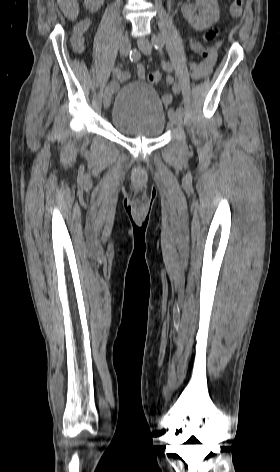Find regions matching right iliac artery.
Segmentation results:
<instances>
[{"instance_id":"82829eb1","label":"right iliac artery","mask_w":280,"mask_h":472,"mask_svg":"<svg viewBox=\"0 0 280 472\" xmlns=\"http://www.w3.org/2000/svg\"><path fill=\"white\" fill-rule=\"evenodd\" d=\"M141 54L138 50L132 49L129 53V59L131 62H137L140 60ZM113 76L116 79H123L125 77V73L118 67L113 69Z\"/></svg>"}]
</instances>
